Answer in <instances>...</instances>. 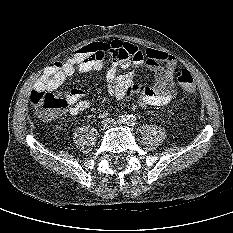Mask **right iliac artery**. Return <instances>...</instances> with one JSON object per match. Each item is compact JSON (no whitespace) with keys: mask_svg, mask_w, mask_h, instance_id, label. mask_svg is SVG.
Here are the masks:
<instances>
[{"mask_svg":"<svg viewBox=\"0 0 233 233\" xmlns=\"http://www.w3.org/2000/svg\"><path fill=\"white\" fill-rule=\"evenodd\" d=\"M129 116H125V115H121L118 117L117 122H119L120 124H125L127 123Z\"/></svg>","mask_w":233,"mask_h":233,"instance_id":"right-iliac-artery-1","label":"right iliac artery"}]
</instances>
